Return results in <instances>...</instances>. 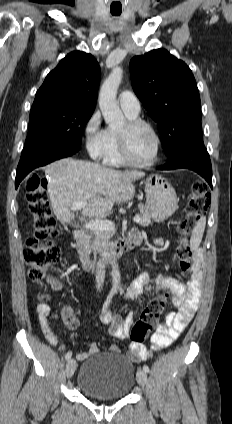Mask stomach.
Masks as SVG:
<instances>
[{"instance_id": "stomach-1", "label": "stomach", "mask_w": 232, "mask_h": 424, "mask_svg": "<svg viewBox=\"0 0 232 424\" xmlns=\"http://www.w3.org/2000/svg\"><path fill=\"white\" fill-rule=\"evenodd\" d=\"M147 208L156 221H164L178 209V198L172 185L159 175L145 181Z\"/></svg>"}]
</instances>
